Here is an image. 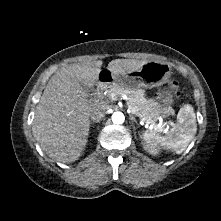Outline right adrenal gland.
<instances>
[{
  "label": "right adrenal gland",
  "mask_w": 221,
  "mask_h": 221,
  "mask_svg": "<svg viewBox=\"0 0 221 221\" xmlns=\"http://www.w3.org/2000/svg\"><path fill=\"white\" fill-rule=\"evenodd\" d=\"M99 123V121H92L90 124Z\"/></svg>",
  "instance_id": "1"
}]
</instances>
